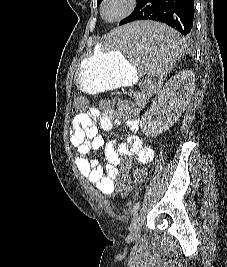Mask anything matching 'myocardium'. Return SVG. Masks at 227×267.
<instances>
[{
	"instance_id": "1",
	"label": "myocardium",
	"mask_w": 227,
	"mask_h": 267,
	"mask_svg": "<svg viewBox=\"0 0 227 267\" xmlns=\"http://www.w3.org/2000/svg\"><path fill=\"white\" fill-rule=\"evenodd\" d=\"M113 1L114 0H102L100 4V10H99L100 17L107 23H115L125 19L126 17H128L130 14L133 13V11L137 6V0H122V2L124 3L122 11L115 17L108 18L106 15V8L107 5Z\"/></svg>"
}]
</instances>
